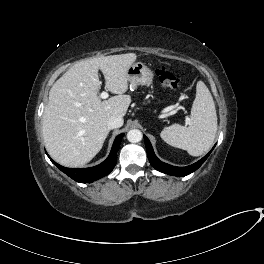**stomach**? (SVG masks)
<instances>
[{"label":"stomach","mask_w":264,"mask_h":264,"mask_svg":"<svg viewBox=\"0 0 264 264\" xmlns=\"http://www.w3.org/2000/svg\"><path fill=\"white\" fill-rule=\"evenodd\" d=\"M128 81L133 86L149 85L153 81V71L142 62L133 63L127 71Z\"/></svg>","instance_id":"1"}]
</instances>
